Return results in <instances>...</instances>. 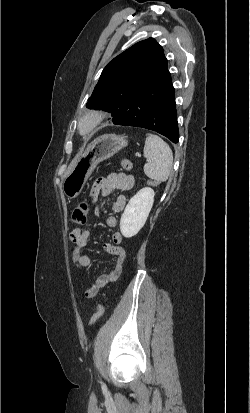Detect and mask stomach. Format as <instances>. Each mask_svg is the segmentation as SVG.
<instances>
[{"label": "stomach", "instance_id": "obj_1", "mask_svg": "<svg viewBox=\"0 0 250 413\" xmlns=\"http://www.w3.org/2000/svg\"><path fill=\"white\" fill-rule=\"evenodd\" d=\"M127 145L126 138L116 134H104L91 142L63 181L66 197H78L95 167Z\"/></svg>", "mask_w": 250, "mask_h": 413}]
</instances>
